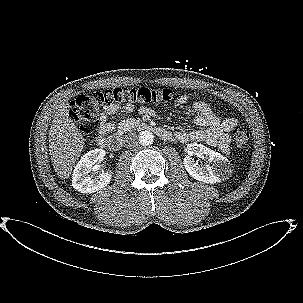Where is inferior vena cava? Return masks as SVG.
I'll return each mask as SVG.
<instances>
[{"label":"inferior vena cava","mask_w":303,"mask_h":303,"mask_svg":"<svg viewBox=\"0 0 303 303\" xmlns=\"http://www.w3.org/2000/svg\"><path fill=\"white\" fill-rule=\"evenodd\" d=\"M125 145L128 147H135L138 144V138L137 135L135 133H128L127 135H125Z\"/></svg>","instance_id":"inferior-vena-cava-1"}]
</instances>
